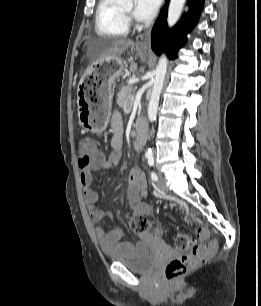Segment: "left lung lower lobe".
I'll return each instance as SVG.
<instances>
[{"label":"left lung lower lobe","mask_w":261,"mask_h":306,"mask_svg":"<svg viewBox=\"0 0 261 306\" xmlns=\"http://www.w3.org/2000/svg\"><path fill=\"white\" fill-rule=\"evenodd\" d=\"M203 4L204 0H188L189 11L184 22L179 23L172 30H168L167 27V5H165L152 30L153 51L158 55L165 51L169 58H176L178 49L185 42V34L197 23Z\"/></svg>","instance_id":"1"}]
</instances>
